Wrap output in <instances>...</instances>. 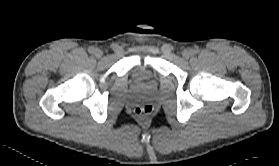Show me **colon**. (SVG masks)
<instances>
[{
  "mask_svg": "<svg viewBox=\"0 0 279 166\" xmlns=\"http://www.w3.org/2000/svg\"><path fill=\"white\" fill-rule=\"evenodd\" d=\"M153 112V107L150 104H142L135 108V115L141 119L149 117Z\"/></svg>",
  "mask_w": 279,
  "mask_h": 166,
  "instance_id": "5ec220e1",
  "label": "colon"
}]
</instances>
